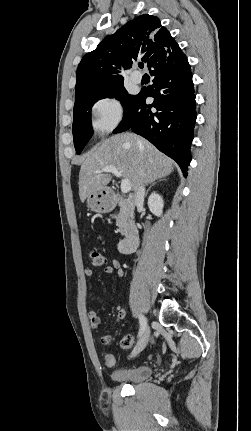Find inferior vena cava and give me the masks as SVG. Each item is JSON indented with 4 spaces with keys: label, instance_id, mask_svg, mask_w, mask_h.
<instances>
[{
    "label": "inferior vena cava",
    "instance_id": "1",
    "mask_svg": "<svg viewBox=\"0 0 251 431\" xmlns=\"http://www.w3.org/2000/svg\"><path fill=\"white\" fill-rule=\"evenodd\" d=\"M144 197H145V185L141 184L138 189L135 191L134 194V203L136 205L142 203L144 201Z\"/></svg>",
    "mask_w": 251,
    "mask_h": 431
}]
</instances>
